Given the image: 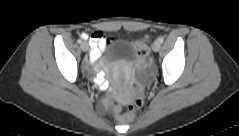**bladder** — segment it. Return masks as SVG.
Segmentation results:
<instances>
[{"label":"bladder","mask_w":239,"mask_h":136,"mask_svg":"<svg viewBox=\"0 0 239 136\" xmlns=\"http://www.w3.org/2000/svg\"><path fill=\"white\" fill-rule=\"evenodd\" d=\"M107 63L127 62L133 67L138 63V54L135 52L132 43L123 38L106 42Z\"/></svg>","instance_id":"obj_1"}]
</instances>
